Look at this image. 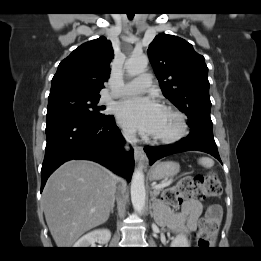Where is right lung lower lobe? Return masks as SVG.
Listing matches in <instances>:
<instances>
[{"label": "right lung lower lobe", "instance_id": "right-lung-lower-lobe-1", "mask_svg": "<svg viewBox=\"0 0 261 261\" xmlns=\"http://www.w3.org/2000/svg\"><path fill=\"white\" fill-rule=\"evenodd\" d=\"M46 137L41 192L48 177L71 159L96 161L130 181L134 170L133 150H123L124 139L115 125L114 116L96 119L68 115L49 119Z\"/></svg>", "mask_w": 261, "mask_h": 261}]
</instances>
